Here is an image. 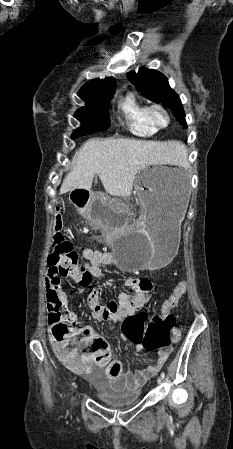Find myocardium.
I'll list each match as a JSON object with an SVG mask.
<instances>
[{"mask_svg": "<svg viewBox=\"0 0 233 449\" xmlns=\"http://www.w3.org/2000/svg\"><path fill=\"white\" fill-rule=\"evenodd\" d=\"M156 112H161L164 114L165 116V123L164 124H160L157 120H156ZM146 115L147 118L149 120V122L156 128V129H163L166 128L170 122H171V116L169 111L166 109L165 106H163L160 103H153L149 106H147L146 108Z\"/></svg>", "mask_w": 233, "mask_h": 449, "instance_id": "f54148a6", "label": "myocardium"}]
</instances>
